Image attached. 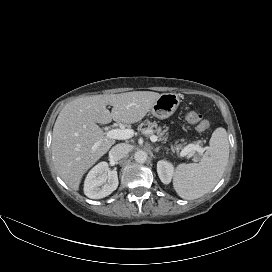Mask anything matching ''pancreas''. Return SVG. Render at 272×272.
<instances>
[{
  "instance_id": "pancreas-1",
  "label": "pancreas",
  "mask_w": 272,
  "mask_h": 272,
  "mask_svg": "<svg viewBox=\"0 0 272 272\" xmlns=\"http://www.w3.org/2000/svg\"><path fill=\"white\" fill-rule=\"evenodd\" d=\"M143 126H147L144 127ZM138 129L140 131H142L145 135H151L153 132H155L157 134V136L159 137V140L161 141H167V137H168V133H166V130H162L160 127H158L156 122H150L147 121L146 123H141L138 127ZM190 145H196L199 146V143L196 144H188L186 146L183 145H177L176 147H174L172 149L173 152H177V153H181L184 149L189 148ZM195 151H191L190 153H188V155L190 154H194Z\"/></svg>"
}]
</instances>
